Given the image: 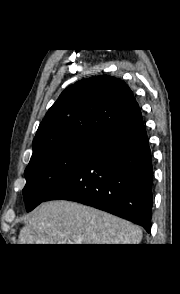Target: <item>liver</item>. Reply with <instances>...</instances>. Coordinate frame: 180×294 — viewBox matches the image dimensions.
Listing matches in <instances>:
<instances>
[{
    "label": "liver",
    "instance_id": "obj_1",
    "mask_svg": "<svg viewBox=\"0 0 180 294\" xmlns=\"http://www.w3.org/2000/svg\"><path fill=\"white\" fill-rule=\"evenodd\" d=\"M140 227L75 202L49 201L35 209L20 231L19 244H139Z\"/></svg>",
    "mask_w": 180,
    "mask_h": 294
}]
</instances>
